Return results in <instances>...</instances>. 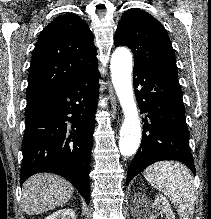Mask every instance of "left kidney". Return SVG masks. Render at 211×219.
<instances>
[{"label":"left kidney","instance_id":"obj_1","mask_svg":"<svg viewBox=\"0 0 211 219\" xmlns=\"http://www.w3.org/2000/svg\"><path fill=\"white\" fill-rule=\"evenodd\" d=\"M158 211L165 215V219H175V215L168 200H166V198L162 195H158L154 202L147 209L145 219H156Z\"/></svg>","mask_w":211,"mask_h":219}]
</instances>
